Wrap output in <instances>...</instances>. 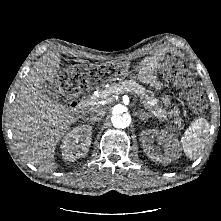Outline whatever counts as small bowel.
Returning <instances> with one entry per match:
<instances>
[{"mask_svg":"<svg viewBox=\"0 0 221 221\" xmlns=\"http://www.w3.org/2000/svg\"><path fill=\"white\" fill-rule=\"evenodd\" d=\"M156 63L153 59H146L135 71L136 76L145 84L159 88L160 84L156 77Z\"/></svg>","mask_w":221,"mask_h":221,"instance_id":"1","label":"small bowel"}]
</instances>
